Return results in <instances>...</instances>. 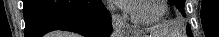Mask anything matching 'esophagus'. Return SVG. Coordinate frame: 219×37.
<instances>
[{"label": "esophagus", "mask_w": 219, "mask_h": 37, "mask_svg": "<svg viewBox=\"0 0 219 37\" xmlns=\"http://www.w3.org/2000/svg\"><path fill=\"white\" fill-rule=\"evenodd\" d=\"M112 25H113L115 33H123L124 32L125 24H124L121 16H119L118 14H114L112 16Z\"/></svg>", "instance_id": "34e87169"}]
</instances>
